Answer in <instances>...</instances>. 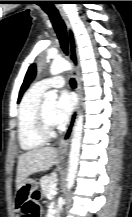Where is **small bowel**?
<instances>
[{
    "label": "small bowel",
    "mask_w": 132,
    "mask_h": 217,
    "mask_svg": "<svg viewBox=\"0 0 132 217\" xmlns=\"http://www.w3.org/2000/svg\"><path fill=\"white\" fill-rule=\"evenodd\" d=\"M26 199L20 201V210H21V217H30L29 214L25 211Z\"/></svg>",
    "instance_id": "obj_1"
}]
</instances>
